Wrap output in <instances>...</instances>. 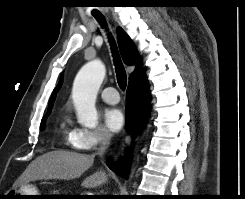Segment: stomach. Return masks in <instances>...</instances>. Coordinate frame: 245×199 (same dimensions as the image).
Returning a JSON list of instances; mask_svg holds the SVG:
<instances>
[{
    "instance_id": "0dacf381",
    "label": "stomach",
    "mask_w": 245,
    "mask_h": 199,
    "mask_svg": "<svg viewBox=\"0 0 245 199\" xmlns=\"http://www.w3.org/2000/svg\"><path fill=\"white\" fill-rule=\"evenodd\" d=\"M12 199H37V196H16V195H40L38 190L28 184H22L17 189H12L9 194Z\"/></svg>"
}]
</instances>
